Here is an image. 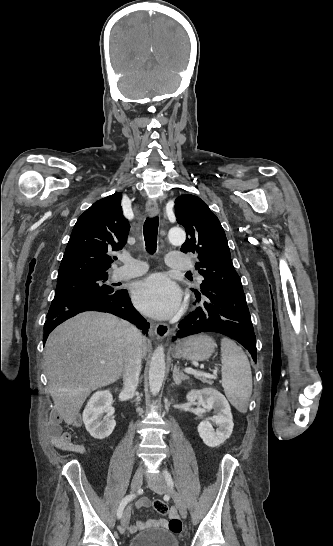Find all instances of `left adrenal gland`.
Returning <instances> with one entry per match:
<instances>
[{
  "label": "left adrenal gland",
  "instance_id": "1",
  "mask_svg": "<svg viewBox=\"0 0 333 546\" xmlns=\"http://www.w3.org/2000/svg\"><path fill=\"white\" fill-rule=\"evenodd\" d=\"M173 380H174L175 384L177 386H179L183 380H189V377L186 376L185 374H183L182 372H180L179 368H177V366H174Z\"/></svg>",
  "mask_w": 333,
  "mask_h": 546
}]
</instances>
